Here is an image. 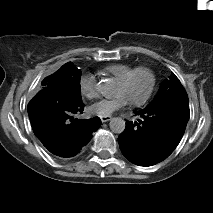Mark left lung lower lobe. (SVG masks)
<instances>
[{
  "label": "left lung lower lobe",
  "mask_w": 213,
  "mask_h": 213,
  "mask_svg": "<svg viewBox=\"0 0 213 213\" xmlns=\"http://www.w3.org/2000/svg\"><path fill=\"white\" fill-rule=\"evenodd\" d=\"M137 122L127 121L118 142L124 156L139 166L164 160L180 142L189 117L171 109L135 112Z\"/></svg>",
  "instance_id": "obj_1"
}]
</instances>
